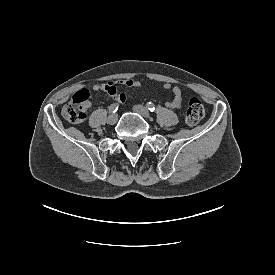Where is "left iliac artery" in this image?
<instances>
[{
    "instance_id": "left-iliac-artery-1",
    "label": "left iliac artery",
    "mask_w": 275,
    "mask_h": 275,
    "mask_svg": "<svg viewBox=\"0 0 275 275\" xmlns=\"http://www.w3.org/2000/svg\"><path fill=\"white\" fill-rule=\"evenodd\" d=\"M146 106L151 112L155 110L154 104L152 102H147Z\"/></svg>"
}]
</instances>
